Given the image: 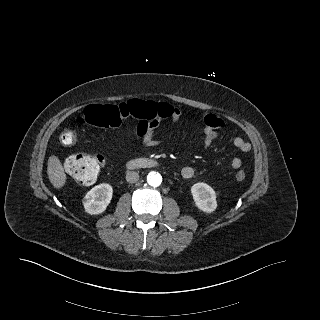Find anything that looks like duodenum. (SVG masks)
<instances>
[{"label": "duodenum", "mask_w": 320, "mask_h": 320, "mask_svg": "<svg viewBox=\"0 0 320 320\" xmlns=\"http://www.w3.org/2000/svg\"><path fill=\"white\" fill-rule=\"evenodd\" d=\"M157 165V162L153 159L140 158L129 162L130 168H151Z\"/></svg>", "instance_id": "1"}]
</instances>
